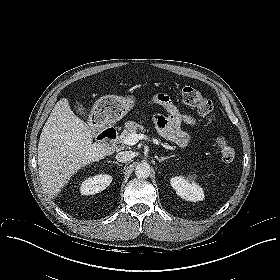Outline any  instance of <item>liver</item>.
I'll return each mask as SVG.
<instances>
[{
  "mask_svg": "<svg viewBox=\"0 0 280 280\" xmlns=\"http://www.w3.org/2000/svg\"><path fill=\"white\" fill-rule=\"evenodd\" d=\"M37 154L40 182L53 198L73 174L103 159L109 151L93 143L90 127L73 113L68 99L62 98L42 129Z\"/></svg>",
  "mask_w": 280,
  "mask_h": 280,
  "instance_id": "liver-1",
  "label": "liver"
}]
</instances>
